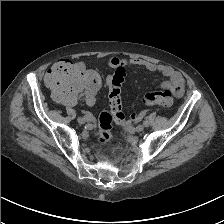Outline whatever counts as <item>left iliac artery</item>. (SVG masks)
Returning <instances> with one entry per match:
<instances>
[{
	"mask_svg": "<svg viewBox=\"0 0 224 224\" xmlns=\"http://www.w3.org/2000/svg\"><path fill=\"white\" fill-rule=\"evenodd\" d=\"M143 125H144L145 127H148V126H149V122H148V121H144V122H143Z\"/></svg>",
	"mask_w": 224,
	"mask_h": 224,
	"instance_id": "left-iliac-artery-1",
	"label": "left iliac artery"
}]
</instances>
